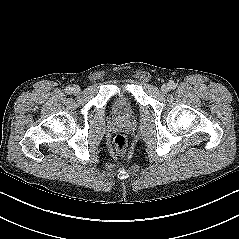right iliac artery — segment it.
I'll list each match as a JSON object with an SVG mask.
<instances>
[{
	"mask_svg": "<svg viewBox=\"0 0 239 239\" xmlns=\"http://www.w3.org/2000/svg\"><path fill=\"white\" fill-rule=\"evenodd\" d=\"M66 93H72V87H70V86H68V87H66Z\"/></svg>",
	"mask_w": 239,
	"mask_h": 239,
	"instance_id": "82829eb1",
	"label": "right iliac artery"
}]
</instances>
